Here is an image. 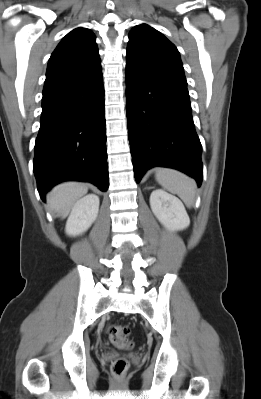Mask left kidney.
I'll list each match as a JSON object with an SVG mask.
<instances>
[{
  "label": "left kidney",
  "instance_id": "left-kidney-1",
  "mask_svg": "<svg viewBox=\"0 0 261 399\" xmlns=\"http://www.w3.org/2000/svg\"><path fill=\"white\" fill-rule=\"evenodd\" d=\"M150 207L159 222L171 231H181L190 224L183 203L162 189L154 190L150 195Z\"/></svg>",
  "mask_w": 261,
  "mask_h": 399
}]
</instances>
